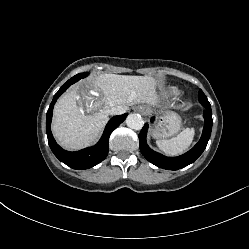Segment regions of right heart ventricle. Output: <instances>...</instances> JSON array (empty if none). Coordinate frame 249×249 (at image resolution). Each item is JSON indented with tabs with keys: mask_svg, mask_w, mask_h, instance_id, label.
<instances>
[{
	"mask_svg": "<svg viewBox=\"0 0 249 249\" xmlns=\"http://www.w3.org/2000/svg\"><path fill=\"white\" fill-rule=\"evenodd\" d=\"M177 94V90L175 88H169L164 92L165 97H173Z\"/></svg>",
	"mask_w": 249,
	"mask_h": 249,
	"instance_id": "right-heart-ventricle-1",
	"label": "right heart ventricle"
}]
</instances>
